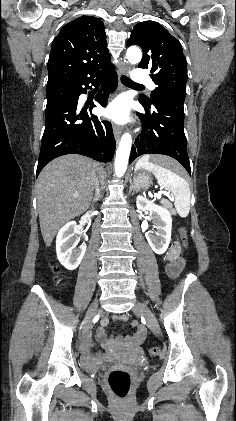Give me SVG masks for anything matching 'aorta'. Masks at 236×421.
<instances>
[{
  "label": "aorta",
  "mask_w": 236,
  "mask_h": 421,
  "mask_svg": "<svg viewBox=\"0 0 236 421\" xmlns=\"http://www.w3.org/2000/svg\"><path fill=\"white\" fill-rule=\"evenodd\" d=\"M126 56L129 62L136 64V62H140L142 52L138 46H129V48H127ZM131 146L132 136L129 132H125V134H122L116 150V158L114 162L116 176H123L124 172H126Z\"/></svg>",
  "instance_id": "aorta-1"
}]
</instances>
